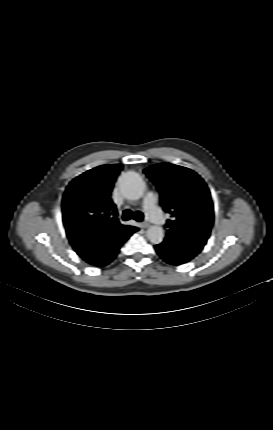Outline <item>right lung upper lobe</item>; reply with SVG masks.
<instances>
[{"label":"right lung upper lobe","instance_id":"1","mask_svg":"<svg viewBox=\"0 0 273 430\" xmlns=\"http://www.w3.org/2000/svg\"><path fill=\"white\" fill-rule=\"evenodd\" d=\"M119 164L102 165L73 179L63 195V223L76 253L85 261L97 256L110 240H126L136 227L119 222L111 200Z\"/></svg>","mask_w":273,"mask_h":430}]
</instances>
